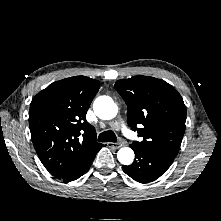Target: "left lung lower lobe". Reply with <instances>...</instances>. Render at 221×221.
<instances>
[{"label": "left lung lower lobe", "instance_id": "1", "mask_svg": "<svg viewBox=\"0 0 221 221\" xmlns=\"http://www.w3.org/2000/svg\"><path fill=\"white\" fill-rule=\"evenodd\" d=\"M135 153V160L129 166H122L123 171L140 183H148L159 178L172 164L174 158L138 145H130Z\"/></svg>", "mask_w": 221, "mask_h": 221}]
</instances>
